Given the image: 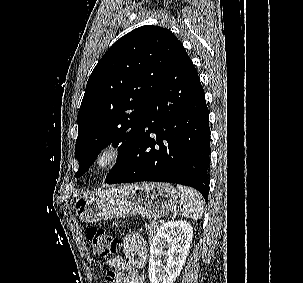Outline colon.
Instances as JSON below:
<instances>
[{
	"label": "colon",
	"instance_id": "1",
	"mask_svg": "<svg viewBox=\"0 0 303 283\" xmlns=\"http://www.w3.org/2000/svg\"><path fill=\"white\" fill-rule=\"evenodd\" d=\"M87 239L95 254L100 257H109L122 246L118 238L99 227H90L87 230Z\"/></svg>",
	"mask_w": 303,
	"mask_h": 283
}]
</instances>
